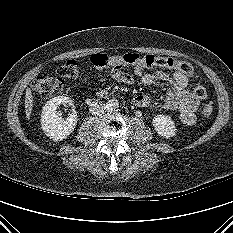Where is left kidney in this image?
Returning a JSON list of instances; mask_svg holds the SVG:
<instances>
[{"instance_id":"1","label":"left kidney","mask_w":233,"mask_h":233,"mask_svg":"<svg viewBox=\"0 0 233 233\" xmlns=\"http://www.w3.org/2000/svg\"><path fill=\"white\" fill-rule=\"evenodd\" d=\"M152 125L156 132L165 138H170L175 136L176 127L175 123L171 117L167 115H157L152 120Z\"/></svg>"}]
</instances>
